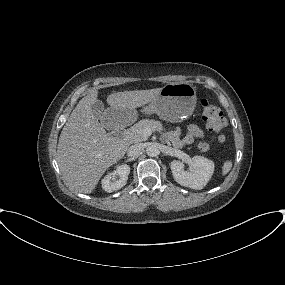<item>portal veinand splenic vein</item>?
Listing matches in <instances>:
<instances>
[{
	"label": "portal vein and splenic vein",
	"mask_w": 285,
	"mask_h": 285,
	"mask_svg": "<svg viewBox=\"0 0 285 285\" xmlns=\"http://www.w3.org/2000/svg\"><path fill=\"white\" fill-rule=\"evenodd\" d=\"M143 133H144L145 136H150L153 133V130L150 129V128H145L143 130Z\"/></svg>",
	"instance_id": "obj_1"
}]
</instances>
